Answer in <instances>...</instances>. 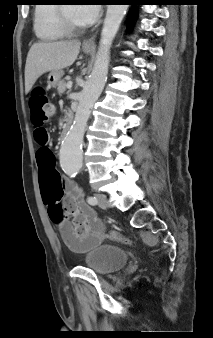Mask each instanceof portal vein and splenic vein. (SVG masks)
<instances>
[{"mask_svg": "<svg viewBox=\"0 0 213 338\" xmlns=\"http://www.w3.org/2000/svg\"><path fill=\"white\" fill-rule=\"evenodd\" d=\"M72 84H73V82H72V81H68V83H67V88H68V89H71V87H72Z\"/></svg>", "mask_w": 213, "mask_h": 338, "instance_id": "1", "label": "portal vein and splenic vein"}]
</instances>
